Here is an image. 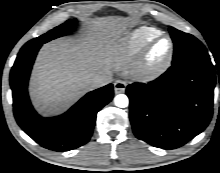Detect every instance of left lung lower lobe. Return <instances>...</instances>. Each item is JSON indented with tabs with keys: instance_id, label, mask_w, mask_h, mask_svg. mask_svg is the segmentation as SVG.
Instances as JSON below:
<instances>
[{
	"instance_id": "left-lung-lower-lobe-1",
	"label": "left lung lower lobe",
	"mask_w": 220,
	"mask_h": 173,
	"mask_svg": "<svg viewBox=\"0 0 220 173\" xmlns=\"http://www.w3.org/2000/svg\"><path fill=\"white\" fill-rule=\"evenodd\" d=\"M215 82L210 58H192L172 64L148 84L128 85L135 136L162 149L192 140L211 120Z\"/></svg>"
}]
</instances>
